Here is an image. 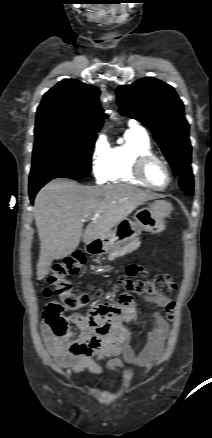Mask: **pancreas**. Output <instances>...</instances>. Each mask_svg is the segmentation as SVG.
<instances>
[{
  "mask_svg": "<svg viewBox=\"0 0 212 438\" xmlns=\"http://www.w3.org/2000/svg\"><path fill=\"white\" fill-rule=\"evenodd\" d=\"M136 234L138 235V234H140V232L138 231ZM140 244H141V242H140L139 238L135 237L130 242L126 243L124 246L116 248L112 252H110L109 258L113 259V258H116L118 256H123L125 254L131 253V252L137 250L139 248Z\"/></svg>",
  "mask_w": 212,
  "mask_h": 438,
  "instance_id": "1",
  "label": "pancreas"
}]
</instances>
